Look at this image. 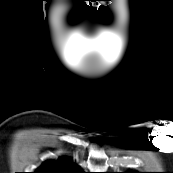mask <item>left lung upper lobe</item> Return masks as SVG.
Instances as JSON below:
<instances>
[{
	"label": "left lung upper lobe",
	"mask_w": 173,
	"mask_h": 173,
	"mask_svg": "<svg viewBox=\"0 0 173 173\" xmlns=\"http://www.w3.org/2000/svg\"><path fill=\"white\" fill-rule=\"evenodd\" d=\"M124 173H138V172L130 171V172H124Z\"/></svg>",
	"instance_id": "left-lung-upper-lobe-1"
}]
</instances>
